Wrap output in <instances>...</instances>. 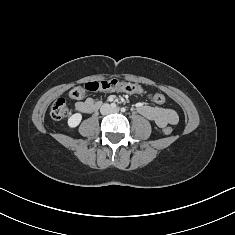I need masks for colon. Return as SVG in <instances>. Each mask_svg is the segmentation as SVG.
Instances as JSON below:
<instances>
[{
  "label": "colon",
  "mask_w": 235,
  "mask_h": 235,
  "mask_svg": "<svg viewBox=\"0 0 235 235\" xmlns=\"http://www.w3.org/2000/svg\"><path fill=\"white\" fill-rule=\"evenodd\" d=\"M105 91H118L130 94H143L144 89L135 83L119 81L117 79L109 80H95L87 82L83 85H78L72 88L69 92V96L72 99H82L87 93L91 92H105ZM149 98L155 104H164L166 98L163 94L155 93L149 94ZM68 114V107L66 101L63 98L57 99L51 106V116L55 120H61ZM172 128L167 126L163 129L165 135H170Z\"/></svg>",
  "instance_id": "1"
}]
</instances>
